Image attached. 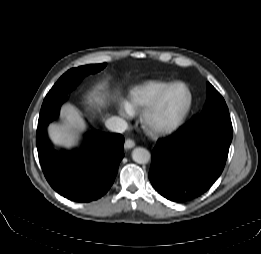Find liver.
Masks as SVG:
<instances>
[{
    "label": "liver",
    "mask_w": 261,
    "mask_h": 254,
    "mask_svg": "<svg viewBox=\"0 0 261 254\" xmlns=\"http://www.w3.org/2000/svg\"><path fill=\"white\" fill-rule=\"evenodd\" d=\"M89 101H94L99 105H103L105 102L104 96L100 95L89 96ZM61 116L64 124L50 125V137L57 145L66 147L73 146L78 140L77 132L85 128L84 120L78 110L70 104H66L62 107Z\"/></svg>",
    "instance_id": "6515ba94"
}]
</instances>
